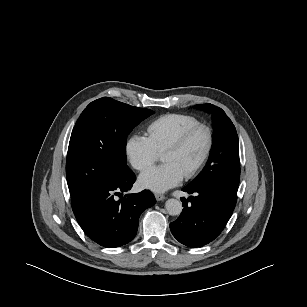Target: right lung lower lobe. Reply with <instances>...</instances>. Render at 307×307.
Listing matches in <instances>:
<instances>
[{
  "mask_svg": "<svg viewBox=\"0 0 307 307\" xmlns=\"http://www.w3.org/2000/svg\"><path fill=\"white\" fill-rule=\"evenodd\" d=\"M135 180L129 169L103 187L72 200L77 222L99 245L114 248L130 242L136 235L141 213L155 204V197L148 190L116 199L115 195L130 190Z\"/></svg>",
  "mask_w": 307,
  "mask_h": 307,
  "instance_id": "right-lung-lower-lobe-1",
  "label": "right lung lower lobe"
}]
</instances>
